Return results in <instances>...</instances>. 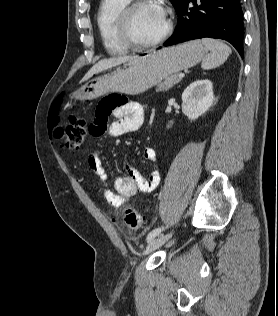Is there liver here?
I'll use <instances>...</instances> for the list:
<instances>
[{"label": "liver", "instance_id": "6515ba94", "mask_svg": "<svg viewBox=\"0 0 278 316\" xmlns=\"http://www.w3.org/2000/svg\"><path fill=\"white\" fill-rule=\"evenodd\" d=\"M140 57L138 55L134 56H119V57H113L109 59H103L100 60L98 63H96L82 78V82L90 79L93 75L102 72L104 70L110 69L112 67H115L117 65H120L122 63L132 62L135 60H138Z\"/></svg>", "mask_w": 278, "mask_h": 316}]
</instances>
